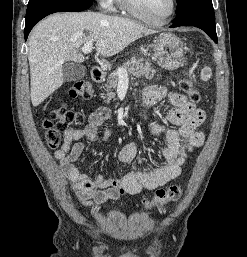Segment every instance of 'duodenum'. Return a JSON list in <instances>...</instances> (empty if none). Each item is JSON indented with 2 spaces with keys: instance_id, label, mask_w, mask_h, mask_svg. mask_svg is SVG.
Segmentation results:
<instances>
[{
  "instance_id": "1",
  "label": "duodenum",
  "mask_w": 247,
  "mask_h": 257,
  "mask_svg": "<svg viewBox=\"0 0 247 257\" xmlns=\"http://www.w3.org/2000/svg\"><path fill=\"white\" fill-rule=\"evenodd\" d=\"M91 78L95 83H100L104 80V72L100 67H93L91 70Z\"/></svg>"
}]
</instances>
